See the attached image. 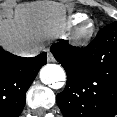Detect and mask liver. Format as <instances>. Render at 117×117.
<instances>
[{"instance_id": "liver-1", "label": "liver", "mask_w": 117, "mask_h": 117, "mask_svg": "<svg viewBox=\"0 0 117 117\" xmlns=\"http://www.w3.org/2000/svg\"><path fill=\"white\" fill-rule=\"evenodd\" d=\"M64 11L57 3L33 2L8 11V18H0V43L9 51H20L51 38L64 29Z\"/></svg>"}]
</instances>
